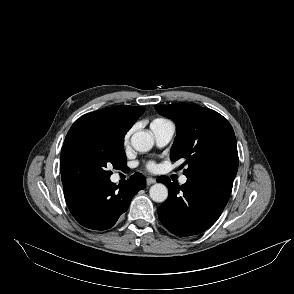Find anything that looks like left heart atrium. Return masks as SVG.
Segmentation results:
<instances>
[{"instance_id": "left-heart-atrium-1", "label": "left heart atrium", "mask_w": 294, "mask_h": 294, "mask_svg": "<svg viewBox=\"0 0 294 294\" xmlns=\"http://www.w3.org/2000/svg\"><path fill=\"white\" fill-rule=\"evenodd\" d=\"M146 168L150 171H154L156 169V165L154 162H149L147 163Z\"/></svg>"}]
</instances>
